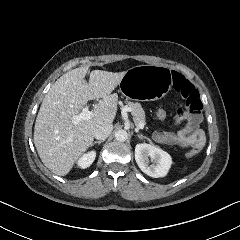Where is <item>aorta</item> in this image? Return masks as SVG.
I'll list each match as a JSON object with an SVG mask.
<instances>
[{
  "mask_svg": "<svg viewBox=\"0 0 240 240\" xmlns=\"http://www.w3.org/2000/svg\"><path fill=\"white\" fill-rule=\"evenodd\" d=\"M114 136L117 141L124 142L128 138V132L124 129H120L115 132Z\"/></svg>",
  "mask_w": 240,
  "mask_h": 240,
  "instance_id": "obj_1",
  "label": "aorta"
}]
</instances>
